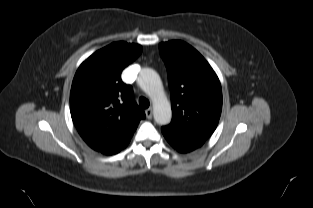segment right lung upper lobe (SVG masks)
<instances>
[{"label": "right lung upper lobe", "instance_id": "obj_1", "mask_svg": "<svg viewBox=\"0 0 313 208\" xmlns=\"http://www.w3.org/2000/svg\"><path fill=\"white\" fill-rule=\"evenodd\" d=\"M142 52L138 44L114 42L78 68L70 92L73 123L84 140L130 139L145 113L133 90L121 80L122 70Z\"/></svg>", "mask_w": 313, "mask_h": 208}]
</instances>
